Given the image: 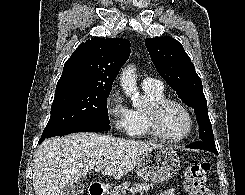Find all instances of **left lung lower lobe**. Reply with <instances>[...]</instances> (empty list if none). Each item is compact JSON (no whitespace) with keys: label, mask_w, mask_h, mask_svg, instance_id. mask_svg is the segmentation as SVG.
Masks as SVG:
<instances>
[{"label":"left lung lower lobe","mask_w":245,"mask_h":195,"mask_svg":"<svg viewBox=\"0 0 245 195\" xmlns=\"http://www.w3.org/2000/svg\"><path fill=\"white\" fill-rule=\"evenodd\" d=\"M186 147L187 148H194V149H202V150L213 152L216 155H218V152H217V149L215 148V146L210 145L209 143H206L204 141H197V142H194V143L187 145Z\"/></svg>","instance_id":"1"}]
</instances>
